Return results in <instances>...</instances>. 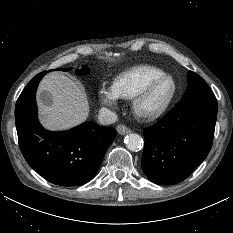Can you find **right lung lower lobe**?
Returning <instances> with one entry per match:
<instances>
[{
    "label": "right lung lower lobe",
    "mask_w": 233,
    "mask_h": 233,
    "mask_svg": "<svg viewBox=\"0 0 233 233\" xmlns=\"http://www.w3.org/2000/svg\"><path fill=\"white\" fill-rule=\"evenodd\" d=\"M46 72L37 74L19 96L15 122L22 154L39 175L60 186H79L98 171L116 138L112 127L85 122L66 132L45 130L37 119L35 94Z\"/></svg>",
    "instance_id": "1"
}]
</instances>
